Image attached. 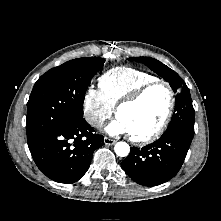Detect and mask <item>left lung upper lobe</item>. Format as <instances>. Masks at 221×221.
<instances>
[{"label": "left lung upper lobe", "instance_id": "5c2ea615", "mask_svg": "<svg viewBox=\"0 0 221 221\" xmlns=\"http://www.w3.org/2000/svg\"><path fill=\"white\" fill-rule=\"evenodd\" d=\"M128 60L141 62L148 66L152 71L169 82L173 91L176 93L175 111L164 134L178 132L193 137L195 111L189 89L183 79L175 71L156 59L150 57H133L128 58Z\"/></svg>", "mask_w": 221, "mask_h": 221}]
</instances>
